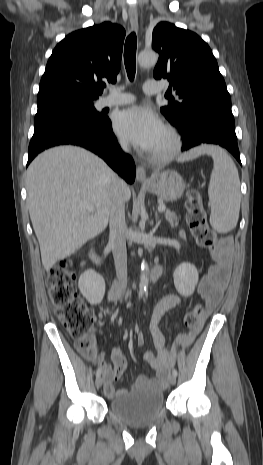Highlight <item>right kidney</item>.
Listing matches in <instances>:
<instances>
[{"mask_svg": "<svg viewBox=\"0 0 263 465\" xmlns=\"http://www.w3.org/2000/svg\"><path fill=\"white\" fill-rule=\"evenodd\" d=\"M85 262L81 263L83 266ZM80 292L91 305L99 304L105 294V281L104 278L97 274L94 270L84 272L78 283Z\"/></svg>", "mask_w": 263, "mask_h": 465, "instance_id": "ca27d5eb", "label": "right kidney"}]
</instances>
